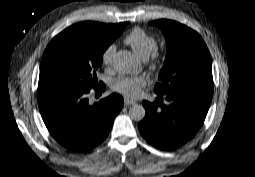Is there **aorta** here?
Wrapping results in <instances>:
<instances>
[{"instance_id": "obj_1", "label": "aorta", "mask_w": 255, "mask_h": 177, "mask_svg": "<svg viewBox=\"0 0 255 177\" xmlns=\"http://www.w3.org/2000/svg\"><path fill=\"white\" fill-rule=\"evenodd\" d=\"M114 68L124 74H138L140 65L129 51H119L113 59ZM129 116L134 121H141L145 117V108L140 104H134L129 109Z\"/></svg>"}]
</instances>
